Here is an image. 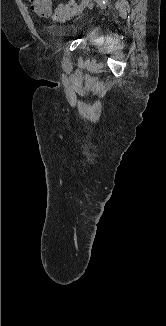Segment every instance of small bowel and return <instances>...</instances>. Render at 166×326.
Returning a JSON list of instances; mask_svg holds the SVG:
<instances>
[{
    "mask_svg": "<svg viewBox=\"0 0 166 326\" xmlns=\"http://www.w3.org/2000/svg\"><path fill=\"white\" fill-rule=\"evenodd\" d=\"M31 10L38 16L48 17L52 12V0H29Z\"/></svg>",
    "mask_w": 166,
    "mask_h": 326,
    "instance_id": "small-bowel-1",
    "label": "small bowel"
}]
</instances>
